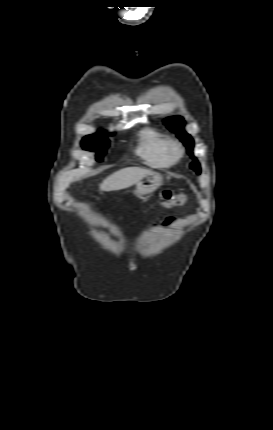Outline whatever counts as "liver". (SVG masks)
Segmentation results:
<instances>
[{
	"mask_svg": "<svg viewBox=\"0 0 273 430\" xmlns=\"http://www.w3.org/2000/svg\"><path fill=\"white\" fill-rule=\"evenodd\" d=\"M151 173H153L151 170L139 167L124 168L105 178L100 185V189L106 192L126 189L133 184H137L139 180Z\"/></svg>",
	"mask_w": 273,
	"mask_h": 430,
	"instance_id": "1",
	"label": "liver"
}]
</instances>
